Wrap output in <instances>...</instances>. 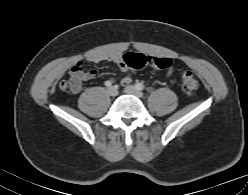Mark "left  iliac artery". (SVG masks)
I'll list each match as a JSON object with an SVG mask.
<instances>
[{
    "label": "left iliac artery",
    "mask_w": 248,
    "mask_h": 195,
    "mask_svg": "<svg viewBox=\"0 0 248 195\" xmlns=\"http://www.w3.org/2000/svg\"><path fill=\"white\" fill-rule=\"evenodd\" d=\"M135 87L138 89V90H144V85L143 84H141V83H137L136 85H135Z\"/></svg>",
    "instance_id": "1"
}]
</instances>
